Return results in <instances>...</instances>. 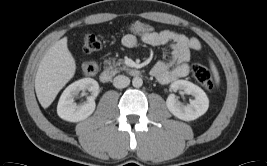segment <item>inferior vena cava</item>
Wrapping results in <instances>:
<instances>
[{
    "label": "inferior vena cava",
    "mask_w": 267,
    "mask_h": 166,
    "mask_svg": "<svg viewBox=\"0 0 267 166\" xmlns=\"http://www.w3.org/2000/svg\"><path fill=\"white\" fill-rule=\"evenodd\" d=\"M129 83L130 79L124 75H118L113 79V85L118 89L127 87Z\"/></svg>",
    "instance_id": "obj_1"
}]
</instances>
